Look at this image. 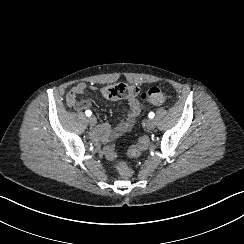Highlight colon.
<instances>
[{"label":"colon","instance_id":"obj_1","mask_svg":"<svg viewBox=\"0 0 244 244\" xmlns=\"http://www.w3.org/2000/svg\"><path fill=\"white\" fill-rule=\"evenodd\" d=\"M137 90L139 89L134 85L119 82L105 87L102 90V94L107 99L114 100V99L121 98L123 96H134V93ZM141 99L148 104L157 105V106H164L168 103V96L166 92L157 86L147 89L146 93L143 94ZM138 141L139 143L136 145L128 144L125 147V152L128 155L133 157H140L151 146L150 139L148 135L145 133L139 135ZM104 155L107 158L114 159L115 149L112 146H107L104 149ZM119 171L124 178H130L134 174L133 169L130 168L128 165H123V164L119 165Z\"/></svg>","mask_w":244,"mask_h":244}]
</instances>
